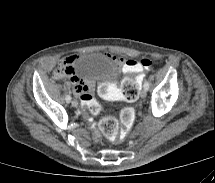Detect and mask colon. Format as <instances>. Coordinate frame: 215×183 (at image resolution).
I'll return each instance as SVG.
<instances>
[{"mask_svg":"<svg viewBox=\"0 0 215 183\" xmlns=\"http://www.w3.org/2000/svg\"><path fill=\"white\" fill-rule=\"evenodd\" d=\"M135 63L140 64L145 69H151L153 67V62L149 59H143L139 62L130 61L127 65V71L133 73ZM70 73L66 66H59L57 68L58 76H65ZM138 79L126 78L121 87L122 97L126 102H133L138 98L139 93ZM82 105L92 114L100 113L102 107L101 104L96 101L93 96L89 93H84L80 97ZM135 111L130 106H124L120 110V120L112 116L103 117L99 122V129L102 134L109 138L110 140L117 141L121 140L123 134L128 130L134 123Z\"/></svg>","mask_w":215,"mask_h":183,"instance_id":"1","label":"colon"}]
</instances>
